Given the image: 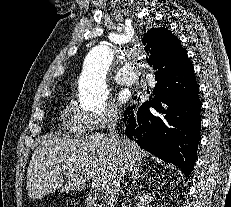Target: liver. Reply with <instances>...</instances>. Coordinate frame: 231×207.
I'll use <instances>...</instances> for the list:
<instances>
[{
  "mask_svg": "<svg viewBox=\"0 0 231 207\" xmlns=\"http://www.w3.org/2000/svg\"><path fill=\"white\" fill-rule=\"evenodd\" d=\"M148 153L125 136L114 148L109 137L92 134L66 138L44 136L34 150L27 170L28 196L41 199L60 192L82 190L86 180L101 184L104 201L117 204L120 183L130 172L138 169Z\"/></svg>",
  "mask_w": 231,
  "mask_h": 207,
  "instance_id": "1",
  "label": "liver"
}]
</instances>
